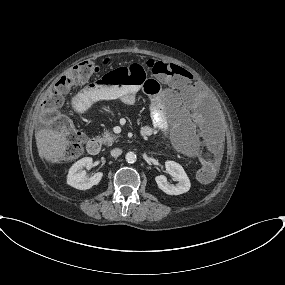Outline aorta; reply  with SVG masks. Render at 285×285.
Wrapping results in <instances>:
<instances>
[{
	"label": "aorta",
	"mask_w": 285,
	"mask_h": 285,
	"mask_svg": "<svg viewBox=\"0 0 285 285\" xmlns=\"http://www.w3.org/2000/svg\"><path fill=\"white\" fill-rule=\"evenodd\" d=\"M125 159L128 163H134L136 162V154L134 152H128L126 155H125Z\"/></svg>",
	"instance_id": "aorta-1"
}]
</instances>
